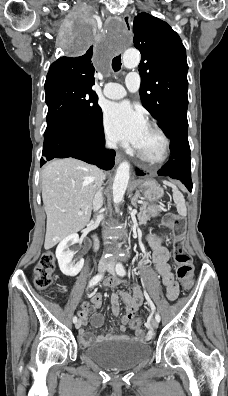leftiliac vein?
<instances>
[{
    "label": "left iliac vein",
    "mask_w": 228,
    "mask_h": 396,
    "mask_svg": "<svg viewBox=\"0 0 228 396\" xmlns=\"http://www.w3.org/2000/svg\"><path fill=\"white\" fill-rule=\"evenodd\" d=\"M107 270H108V272H109L111 275H113V276L115 275V264H114V262H111V263L108 264ZM158 325H159V322H158L156 319H153V320L151 321V326H152V328L157 329V328H158Z\"/></svg>",
    "instance_id": "1"
}]
</instances>
